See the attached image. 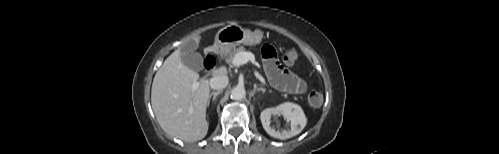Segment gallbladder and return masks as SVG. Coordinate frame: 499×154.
Wrapping results in <instances>:
<instances>
[{
    "label": "gallbladder",
    "mask_w": 499,
    "mask_h": 154,
    "mask_svg": "<svg viewBox=\"0 0 499 154\" xmlns=\"http://www.w3.org/2000/svg\"><path fill=\"white\" fill-rule=\"evenodd\" d=\"M198 45L199 42L197 39H189L183 46V53L181 56L183 64L195 71L200 70L203 66L202 56L199 53L195 52V50L198 48Z\"/></svg>",
    "instance_id": "bac80fb5"
}]
</instances>
